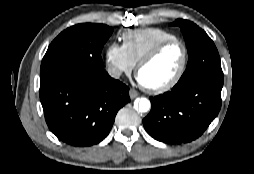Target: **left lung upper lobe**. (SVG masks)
Listing matches in <instances>:
<instances>
[{"label": "left lung upper lobe", "instance_id": "left-lung-upper-lobe-1", "mask_svg": "<svg viewBox=\"0 0 254 174\" xmlns=\"http://www.w3.org/2000/svg\"><path fill=\"white\" fill-rule=\"evenodd\" d=\"M171 25L181 28L188 50V64L179 83L202 75H223L218 51L204 30L184 19H177Z\"/></svg>", "mask_w": 254, "mask_h": 174}]
</instances>
